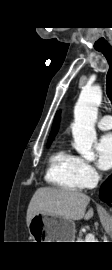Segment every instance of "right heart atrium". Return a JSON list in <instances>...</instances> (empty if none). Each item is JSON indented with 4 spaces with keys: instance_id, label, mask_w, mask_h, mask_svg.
Instances as JSON below:
<instances>
[{
    "instance_id": "right-heart-atrium-1",
    "label": "right heart atrium",
    "mask_w": 112,
    "mask_h": 270,
    "mask_svg": "<svg viewBox=\"0 0 112 270\" xmlns=\"http://www.w3.org/2000/svg\"><path fill=\"white\" fill-rule=\"evenodd\" d=\"M78 175L84 188L92 187L99 178L94 165L82 158H78Z\"/></svg>"
}]
</instances>
